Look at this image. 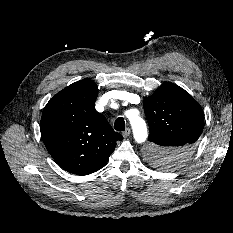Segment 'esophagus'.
<instances>
[{
    "label": "esophagus",
    "instance_id": "1",
    "mask_svg": "<svg viewBox=\"0 0 233 233\" xmlns=\"http://www.w3.org/2000/svg\"><path fill=\"white\" fill-rule=\"evenodd\" d=\"M131 133V129L130 128H126L125 131L122 133L123 137H128Z\"/></svg>",
    "mask_w": 233,
    "mask_h": 233
}]
</instances>
